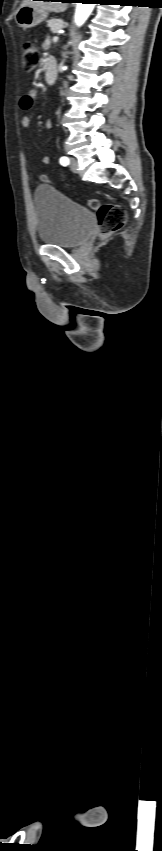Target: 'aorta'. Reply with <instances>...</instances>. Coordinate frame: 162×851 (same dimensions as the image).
Wrapping results in <instances>:
<instances>
[{"label": "aorta", "mask_w": 162, "mask_h": 851, "mask_svg": "<svg viewBox=\"0 0 162 851\" xmlns=\"http://www.w3.org/2000/svg\"><path fill=\"white\" fill-rule=\"evenodd\" d=\"M94 8V4L91 3H78L75 11V23L77 26H81L87 20L89 15L91 14Z\"/></svg>", "instance_id": "1"}]
</instances>
